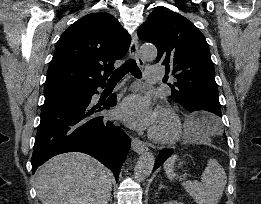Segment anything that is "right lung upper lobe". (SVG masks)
<instances>
[{"label": "right lung upper lobe", "instance_id": "obj_1", "mask_svg": "<svg viewBox=\"0 0 261 204\" xmlns=\"http://www.w3.org/2000/svg\"><path fill=\"white\" fill-rule=\"evenodd\" d=\"M130 42L127 31L111 14L91 13L80 18L56 44L44 94L75 92L105 83Z\"/></svg>", "mask_w": 261, "mask_h": 204}]
</instances>
